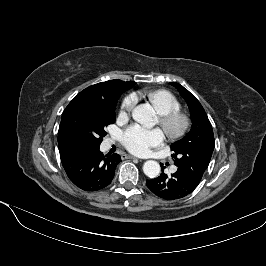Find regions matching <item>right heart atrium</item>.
Returning <instances> with one entry per match:
<instances>
[{"label":"right heart atrium","instance_id":"right-heart-atrium-1","mask_svg":"<svg viewBox=\"0 0 266 266\" xmlns=\"http://www.w3.org/2000/svg\"><path fill=\"white\" fill-rule=\"evenodd\" d=\"M137 102V95L135 93H130L127 95L121 104V114L122 115H127L131 110L133 109L134 105Z\"/></svg>","mask_w":266,"mask_h":266}]
</instances>
